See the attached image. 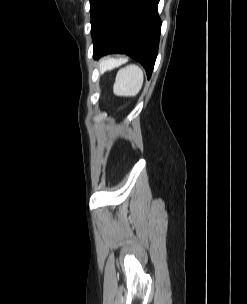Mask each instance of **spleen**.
<instances>
[{
	"label": "spleen",
	"mask_w": 247,
	"mask_h": 304,
	"mask_svg": "<svg viewBox=\"0 0 247 304\" xmlns=\"http://www.w3.org/2000/svg\"><path fill=\"white\" fill-rule=\"evenodd\" d=\"M122 63V59H110L102 64L103 68H112ZM144 81L143 71L140 67L130 64L117 73L113 92L117 96H136L142 88Z\"/></svg>",
	"instance_id": "3e777b00"
}]
</instances>
